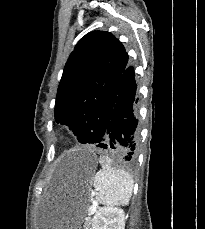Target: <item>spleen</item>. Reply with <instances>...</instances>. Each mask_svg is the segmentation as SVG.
<instances>
[{
	"mask_svg": "<svg viewBox=\"0 0 205 229\" xmlns=\"http://www.w3.org/2000/svg\"><path fill=\"white\" fill-rule=\"evenodd\" d=\"M99 162L102 169L92 179L95 199L107 206L128 205L133 192L132 177L124 170L111 167L106 156H100Z\"/></svg>",
	"mask_w": 205,
	"mask_h": 229,
	"instance_id": "obj_1",
	"label": "spleen"
}]
</instances>
